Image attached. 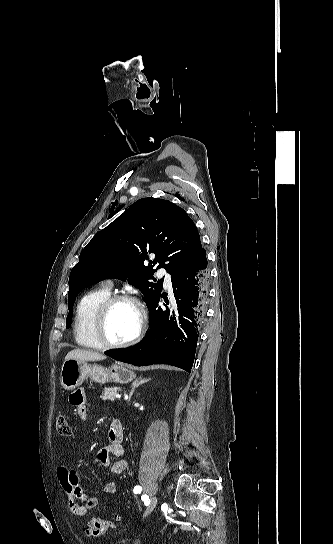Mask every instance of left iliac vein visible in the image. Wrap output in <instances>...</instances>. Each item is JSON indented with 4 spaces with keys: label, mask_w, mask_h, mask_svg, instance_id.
I'll list each match as a JSON object with an SVG mask.
<instances>
[{
    "label": "left iliac vein",
    "mask_w": 333,
    "mask_h": 544,
    "mask_svg": "<svg viewBox=\"0 0 333 544\" xmlns=\"http://www.w3.org/2000/svg\"><path fill=\"white\" fill-rule=\"evenodd\" d=\"M156 505H157V497L153 496L151 498L150 504L148 505V507H147V509L145 511L144 517L147 516L148 514H150L154 510Z\"/></svg>",
    "instance_id": "left-iliac-vein-1"
}]
</instances>
